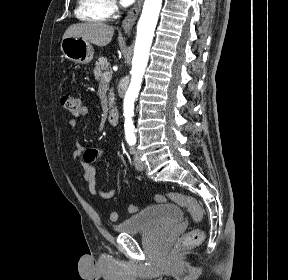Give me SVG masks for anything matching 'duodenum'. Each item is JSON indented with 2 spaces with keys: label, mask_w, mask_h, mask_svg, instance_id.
Returning <instances> with one entry per match:
<instances>
[{
  "label": "duodenum",
  "mask_w": 288,
  "mask_h": 280,
  "mask_svg": "<svg viewBox=\"0 0 288 280\" xmlns=\"http://www.w3.org/2000/svg\"><path fill=\"white\" fill-rule=\"evenodd\" d=\"M107 119L110 125L117 126L119 123V111L113 107L108 111Z\"/></svg>",
  "instance_id": "410a0bca"
}]
</instances>
